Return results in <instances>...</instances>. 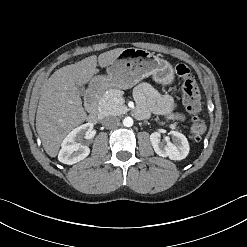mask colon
<instances>
[{
    "label": "colon",
    "mask_w": 247,
    "mask_h": 247,
    "mask_svg": "<svg viewBox=\"0 0 247 247\" xmlns=\"http://www.w3.org/2000/svg\"><path fill=\"white\" fill-rule=\"evenodd\" d=\"M174 69L182 80V94L186 109L193 115L190 135L193 141L198 142L202 139L206 130L205 123L200 118L201 100L199 88L186 65L176 64Z\"/></svg>",
    "instance_id": "1"
}]
</instances>
